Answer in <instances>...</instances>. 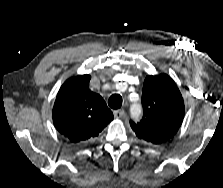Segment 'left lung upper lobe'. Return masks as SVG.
Masks as SVG:
<instances>
[{
    "label": "left lung upper lobe",
    "mask_w": 223,
    "mask_h": 188,
    "mask_svg": "<svg viewBox=\"0 0 223 188\" xmlns=\"http://www.w3.org/2000/svg\"><path fill=\"white\" fill-rule=\"evenodd\" d=\"M143 117L130 121L137 137L150 144H161L178 131L184 118L182 95L167 74L148 75L142 90Z\"/></svg>",
    "instance_id": "1"
}]
</instances>
